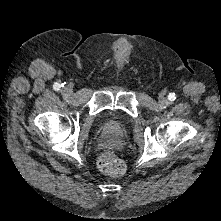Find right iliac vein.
I'll list each match as a JSON object with an SVG mask.
<instances>
[{"label":"right iliac vein","mask_w":221,"mask_h":221,"mask_svg":"<svg viewBox=\"0 0 221 221\" xmlns=\"http://www.w3.org/2000/svg\"><path fill=\"white\" fill-rule=\"evenodd\" d=\"M63 92H64L65 94H70V93L72 92V89L69 88V87H65V88L63 89Z\"/></svg>","instance_id":"63e3f726"}]
</instances>
